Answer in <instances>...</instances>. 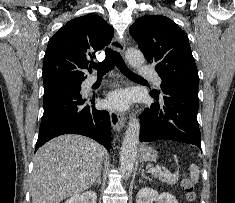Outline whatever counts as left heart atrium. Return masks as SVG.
Masks as SVG:
<instances>
[{
    "label": "left heart atrium",
    "mask_w": 235,
    "mask_h": 203,
    "mask_svg": "<svg viewBox=\"0 0 235 203\" xmlns=\"http://www.w3.org/2000/svg\"><path fill=\"white\" fill-rule=\"evenodd\" d=\"M132 101L131 94L126 90H117L112 92L106 99L105 104L108 107L125 110L127 109Z\"/></svg>",
    "instance_id": "39dd6f15"
}]
</instances>
